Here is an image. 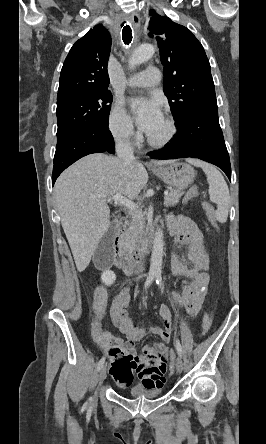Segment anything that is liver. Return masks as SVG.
I'll return each mask as SVG.
<instances>
[{"label": "liver", "instance_id": "6515ba94", "mask_svg": "<svg viewBox=\"0 0 266 444\" xmlns=\"http://www.w3.org/2000/svg\"><path fill=\"white\" fill-rule=\"evenodd\" d=\"M172 160H161L166 165ZM148 181L141 162L124 161L102 153L87 155L66 169L54 186L61 224L78 271L87 268L110 227L106 198L121 193L134 199Z\"/></svg>", "mask_w": 266, "mask_h": 444}]
</instances>
